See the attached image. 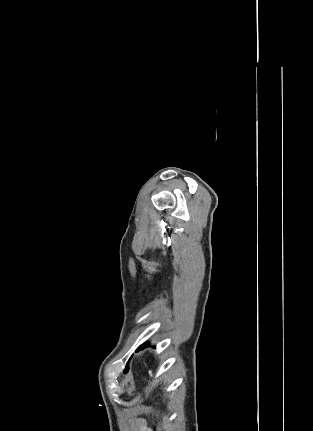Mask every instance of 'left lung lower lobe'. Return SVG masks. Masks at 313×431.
Segmentation results:
<instances>
[{
    "instance_id": "left-lung-lower-lobe-1",
    "label": "left lung lower lobe",
    "mask_w": 313,
    "mask_h": 431,
    "mask_svg": "<svg viewBox=\"0 0 313 431\" xmlns=\"http://www.w3.org/2000/svg\"><path fill=\"white\" fill-rule=\"evenodd\" d=\"M146 345H147V343H144L143 345H141V346L138 348V350H139V349L144 348Z\"/></svg>"
}]
</instances>
